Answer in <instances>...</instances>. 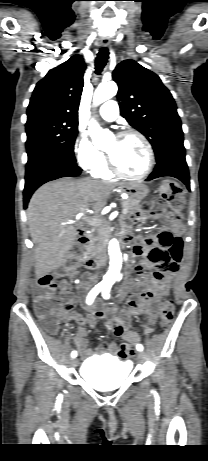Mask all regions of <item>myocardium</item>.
Returning a JSON list of instances; mask_svg holds the SVG:
<instances>
[{
  "label": "myocardium",
  "mask_w": 208,
  "mask_h": 461,
  "mask_svg": "<svg viewBox=\"0 0 208 461\" xmlns=\"http://www.w3.org/2000/svg\"><path fill=\"white\" fill-rule=\"evenodd\" d=\"M129 136H135L139 138V140L143 143L147 154H148V164L144 172H142L139 175H130L125 172H123L115 163L112 155L108 152L105 151V156H106V162L108 169L110 172L118 177L124 178V179H129V180H142L150 175L154 168L155 164V155H154V150L152 148V145L150 144L149 140L146 138L145 135H143L141 132L134 130V129H128L119 132L115 137L117 139H123Z\"/></svg>",
  "instance_id": "obj_1"
}]
</instances>
